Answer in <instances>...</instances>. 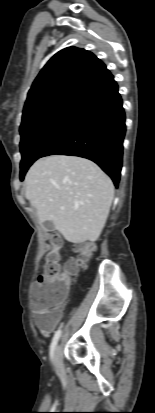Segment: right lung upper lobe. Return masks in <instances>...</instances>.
Returning <instances> with one entry per match:
<instances>
[{"instance_id": "1", "label": "right lung upper lobe", "mask_w": 155, "mask_h": 413, "mask_svg": "<svg viewBox=\"0 0 155 413\" xmlns=\"http://www.w3.org/2000/svg\"><path fill=\"white\" fill-rule=\"evenodd\" d=\"M112 80L105 64L90 51L76 47L59 51L33 82L21 126L59 106L79 104Z\"/></svg>"}]
</instances>
